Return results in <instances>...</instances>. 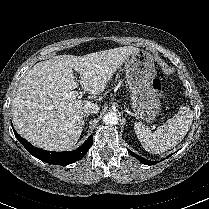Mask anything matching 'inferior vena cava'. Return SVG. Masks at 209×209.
<instances>
[{"instance_id":"1","label":"inferior vena cava","mask_w":209,"mask_h":209,"mask_svg":"<svg viewBox=\"0 0 209 209\" xmlns=\"http://www.w3.org/2000/svg\"><path fill=\"white\" fill-rule=\"evenodd\" d=\"M99 110H100V107L97 104H94L91 102H87L82 108V111L85 114H90V113L97 114Z\"/></svg>"}]
</instances>
